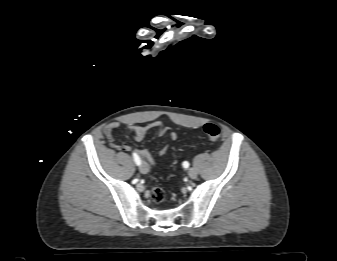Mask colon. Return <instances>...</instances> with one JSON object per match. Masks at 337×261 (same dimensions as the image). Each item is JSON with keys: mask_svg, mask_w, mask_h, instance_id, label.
Masks as SVG:
<instances>
[{"mask_svg": "<svg viewBox=\"0 0 337 261\" xmlns=\"http://www.w3.org/2000/svg\"><path fill=\"white\" fill-rule=\"evenodd\" d=\"M204 133L209 141H216L220 137V128L213 123H207L203 127ZM151 199L160 204L165 199V192L159 186H154L151 189Z\"/></svg>", "mask_w": 337, "mask_h": 261, "instance_id": "1", "label": "colon"}]
</instances>
